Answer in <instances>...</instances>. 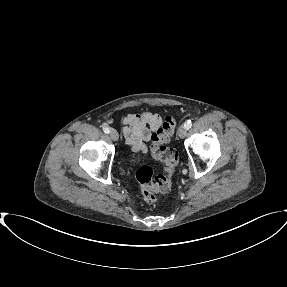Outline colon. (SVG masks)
<instances>
[{
	"instance_id": "colon-1",
	"label": "colon",
	"mask_w": 287,
	"mask_h": 287,
	"mask_svg": "<svg viewBox=\"0 0 287 287\" xmlns=\"http://www.w3.org/2000/svg\"><path fill=\"white\" fill-rule=\"evenodd\" d=\"M176 120L169 115L164 123L152 134V156L163 163L164 173L153 176L149 166H141L136 171L137 192L148 203L156 201L157 193L171 189L172 177L178 164V153L167 146L173 136Z\"/></svg>"
}]
</instances>
